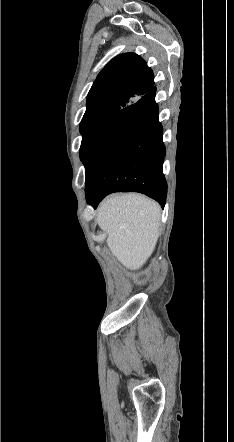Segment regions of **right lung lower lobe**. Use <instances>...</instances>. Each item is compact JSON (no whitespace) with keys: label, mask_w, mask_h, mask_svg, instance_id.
Wrapping results in <instances>:
<instances>
[{"label":"right lung lower lobe","mask_w":234,"mask_h":442,"mask_svg":"<svg viewBox=\"0 0 234 442\" xmlns=\"http://www.w3.org/2000/svg\"><path fill=\"white\" fill-rule=\"evenodd\" d=\"M155 92L153 87L117 112L84 160L86 199L94 208L107 194L120 191L146 194L164 207L166 151Z\"/></svg>","instance_id":"1"}]
</instances>
